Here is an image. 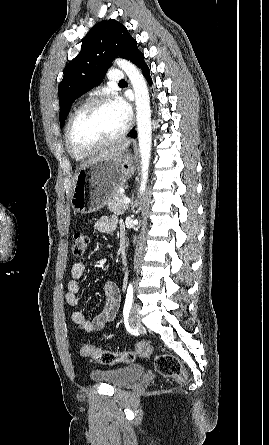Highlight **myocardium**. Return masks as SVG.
Segmentation results:
<instances>
[{
    "instance_id": "obj_1",
    "label": "myocardium",
    "mask_w": 269,
    "mask_h": 445,
    "mask_svg": "<svg viewBox=\"0 0 269 445\" xmlns=\"http://www.w3.org/2000/svg\"><path fill=\"white\" fill-rule=\"evenodd\" d=\"M105 103H112L111 99L109 97L106 96H99V97H95L92 98L90 100H88L87 102H85L84 104H82L80 107H78L70 116L66 127H65V133H64V139H65V144L68 148V150L70 151V153L76 155V156H82V157H86L92 154L97 153L98 151L104 149L105 147L112 145L116 142H118L119 140H121L122 138H124L126 136V134L129 131V123H126L125 127L122 129V131L120 133H118L116 136L105 140L101 143H99L98 145L91 147V148H80L78 146H76L72 140H71V129L73 126L74 121L85 111L101 105V104H105Z\"/></svg>"
}]
</instances>
